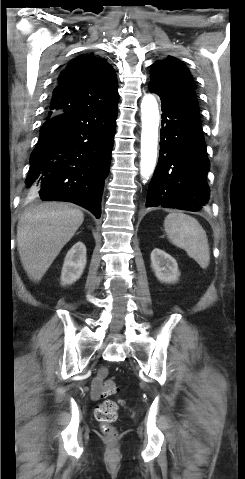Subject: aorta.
I'll return each mask as SVG.
<instances>
[{
  "instance_id": "1",
  "label": "aorta",
  "mask_w": 245,
  "mask_h": 479,
  "mask_svg": "<svg viewBox=\"0 0 245 479\" xmlns=\"http://www.w3.org/2000/svg\"><path fill=\"white\" fill-rule=\"evenodd\" d=\"M141 121L140 173L144 179H148L156 165L159 126L158 103L153 95H145L142 99Z\"/></svg>"
}]
</instances>
